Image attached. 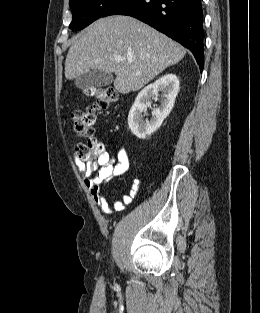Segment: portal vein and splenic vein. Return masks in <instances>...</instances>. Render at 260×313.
<instances>
[{
    "mask_svg": "<svg viewBox=\"0 0 260 313\" xmlns=\"http://www.w3.org/2000/svg\"><path fill=\"white\" fill-rule=\"evenodd\" d=\"M120 60H122L123 58H119ZM128 62H132L133 61V57L132 56H129L127 57L126 59Z\"/></svg>",
    "mask_w": 260,
    "mask_h": 313,
    "instance_id": "portal-vein-and-splenic-vein-1",
    "label": "portal vein and splenic vein"
}]
</instances>
